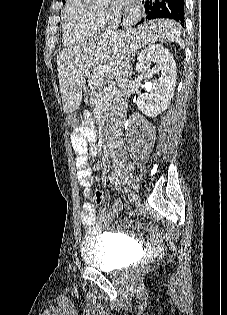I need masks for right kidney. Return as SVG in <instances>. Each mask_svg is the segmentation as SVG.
Instances as JSON below:
<instances>
[{"instance_id":"ca27d5eb","label":"right kidney","mask_w":227,"mask_h":315,"mask_svg":"<svg viewBox=\"0 0 227 315\" xmlns=\"http://www.w3.org/2000/svg\"><path fill=\"white\" fill-rule=\"evenodd\" d=\"M137 61L138 72L159 75L149 83V94L138 93L134 98L138 109L154 118L168 108L173 98L177 79L176 63L169 50L161 44H150L138 54Z\"/></svg>"}]
</instances>
